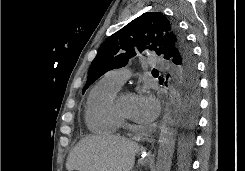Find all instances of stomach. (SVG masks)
I'll return each instance as SVG.
<instances>
[{
  "mask_svg": "<svg viewBox=\"0 0 245 171\" xmlns=\"http://www.w3.org/2000/svg\"><path fill=\"white\" fill-rule=\"evenodd\" d=\"M141 162H142V163H146V160L142 159Z\"/></svg>",
  "mask_w": 245,
  "mask_h": 171,
  "instance_id": "1",
  "label": "stomach"
}]
</instances>
